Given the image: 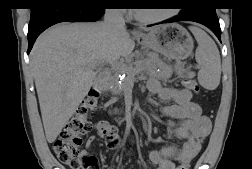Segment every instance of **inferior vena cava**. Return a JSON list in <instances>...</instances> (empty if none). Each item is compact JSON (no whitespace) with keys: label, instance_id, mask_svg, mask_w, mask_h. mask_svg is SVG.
<instances>
[{"label":"inferior vena cava","instance_id":"1","mask_svg":"<svg viewBox=\"0 0 252 169\" xmlns=\"http://www.w3.org/2000/svg\"><path fill=\"white\" fill-rule=\"evenodd\" d=\"M103 25L110 33L125 31V20L121 9H106Z\"/></svg>","mask_w":252,"mask_h":169}]
</instances>
